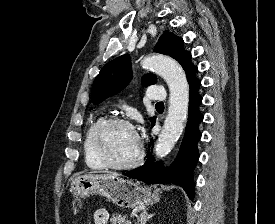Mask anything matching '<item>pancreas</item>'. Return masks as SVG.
Wrapping results in <instances>:
<instances>
[{"instance_id": "cf45deb5", "label": "pancreas", "mask_w": 275, "mask_h": 224, "mask_svg": "<svg viewBox=\"0 0 275 224\" xmlns=\"http://www.w3.org/2000/svg\"><path fill=\"white\" fill-rule=\"evenodd\" d=\"M110 224H130L128 220H126L125 216L122 215H112L110 220Z\"/></svg>"}]
</instances>
